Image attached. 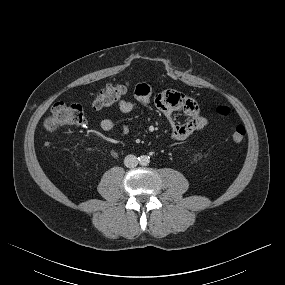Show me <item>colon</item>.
I'll return each mask as SVG.
<instances>
[{"label":"colon","mask_w":285,"mask_h":285,"mask_svg":"<svg viewBox=\"0 0 285 285\" xmlns=\"http://www.w3.org/2000/svg\"><path fill=\"white\" fill-rule=\"evenodd\" d=\"M127 91V86L122 83L109 84L102 89L94 98L92 106L100 110L108 108L118 102ZM217 113L226 116L230 113L228 107L220 106ZM83 110L78 104L58 102L54 104L49 115L44 119V127L48 131H57L65 126L78 125L83 122ZM246 130L243 125H235L229 132V139L234 144L244 141Z\"/></svg>","instance_id":"colon-1"}]
</instances>
